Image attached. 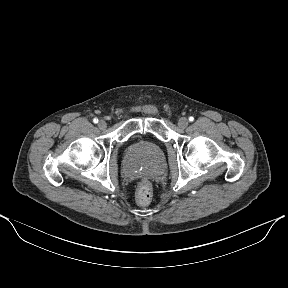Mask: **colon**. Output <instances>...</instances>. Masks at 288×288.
Returning <instances> with one entry per match:
<instances>
[{
	"label": "colon",
	"instance_id": "obj_1",
	"mask_svg": "<svg viewBox=\"0 0 288 288\" xmlns=\"http://www.w3.org/2000/svg\"><path fill=\"white\" fill-rule=\"evenodd\" d=\"M152 198V188L146 181L142 182L136 192V201L139 205H147Z\"/></svg>",
	"mask_w": 288,
	"mask_h": 288
}]
</instances>
